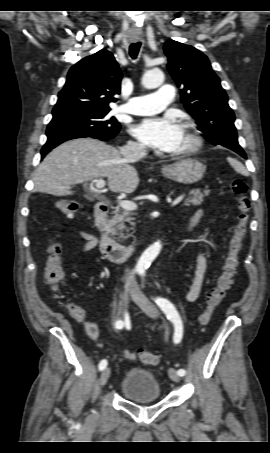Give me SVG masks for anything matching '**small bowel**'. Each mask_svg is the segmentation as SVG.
Listing matches in <instances>:
<instances>
[{
	"label": "small bowel",
	"instance_id": "1",
	"mask_svg": "<svg viewBox=\"0 0 270 453\" xmlns=\"http://www.w3.org/2000/svg\"><path fill=\"white\" fill-rule=\"evenodd\" d=\"M202 216H203V212L198 211L191 219L190 227H193L202 218ZM79 235L85 241V243L79 248L80 253L89 252L96 247L97 239L93 234L86 232V231H81L79 233ZM206 269H207L206 257L203 253H200L197 257V264L195 267L192 283L190 285L189 291L186 296V298L189 302H193L198 299L201 289H202V284H203V280L205 277ZM80 310L82 311V315L80 317H77L76 319L80 322H83L88 336L92 340H97L99 337V329H98L97 324L92 321L87 320L85 318L83 309L80 308ZM121 355L125 359L134 360L136 358L135 353L130 350H127V349L121 350Z\"/></svg>",
	"mask_w": 270,
	"mask_h": 453
}]
</instances>
